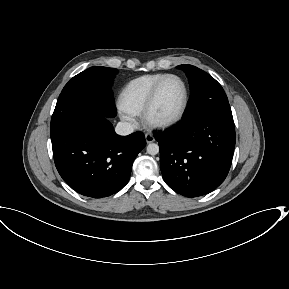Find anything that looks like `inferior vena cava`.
Wrapping results in <instances>:
<instances>
[{
	"instance_id": "obj_1",
	"label": "inferior vena cava",
	"mask_w": 289,
	"mask_h": 289,
	"mask_svg": "<svg viewBox=\"0 0 289 289\" xmlns=\"http://www.w3.org/2000/svg\"><path fill=\"white\" fill-rule=\"evenodd\" d=\"M133 131H134V127L129 122H119L117 126L115 127V132L121 136L129 135L133 133Z\"/></svg>"
}]
</instances>
